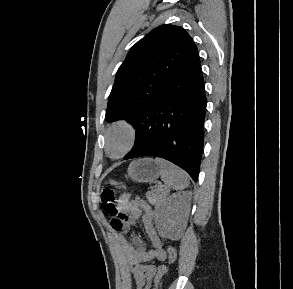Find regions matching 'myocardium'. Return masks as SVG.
Listing matches in <instances>:
<instances>
[{"label":"myocardium","instance_id":"obj_1","mask_svg":"<svg viewBox=\"0 0 293 289\" xmlns=\"http://www.w3.org/2000/svg\"><path fill=\"white\" fill-rule=\"evenodd\" d=\"M121 131L126 135V143L123 149L118 154H112L109 148V142L111 139V136ZM138 138V127L130 119L127 118H120L115 120L113 123H111L105 133V151L107 155L111 158L118 159L126 155L128 152L131 151V149L134 147L136 141Z\"/></svg>","mask_w":293,"mask_h":289}]
</instances>
